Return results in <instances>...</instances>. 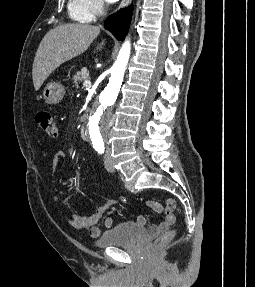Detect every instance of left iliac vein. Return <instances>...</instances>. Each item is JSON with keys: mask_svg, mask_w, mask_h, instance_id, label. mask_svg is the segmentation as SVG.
Returning a JSON list of instances; mask_svg holds the SVG:
<instances>
[{"mask_svg": "<svg viewBox=\"0 0 255 287\" xmlns=\"http://www.w3.org/2000/svg\"><path fill=\"white\" fill-rule=\"evenodd\" d=\"M111 150L110 148L107 149V153H106V156H105V161H104V164H105V168L107 169V171L109 172H114L115 171V167H114V163L111 159Z\"/></svg>", "mask_w": 255, "mask_h": 287, "instance_id": "obj_1", "label": "left iliac vein"}]
</instances>
